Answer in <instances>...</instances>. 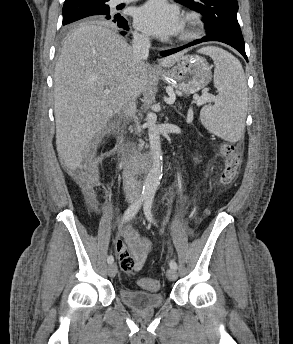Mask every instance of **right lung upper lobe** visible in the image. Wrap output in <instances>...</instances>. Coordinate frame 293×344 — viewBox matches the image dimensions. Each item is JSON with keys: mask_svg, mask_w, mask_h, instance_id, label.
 Returning <instances> with one entry per match:
<instances>
[{"mask_svg": "<svg viewBox=\"0 0 293 344\" xmlns=\"http://www.w3.org/2000/svg\"><path fill=\"white\" fill-rule=\"evenodd\" d=\"M78 1H82V0H65V3L64 4H70V3H74V2H78ZM77 23L75 24H72V25H76ZM72 25H69L68 27L72 26Z\"/></svg>", "mask_w": 293, "mask_h": 344, "instance_id": "right-lung-upper-lobe-1", "label": "right lung upper lobe"}]
</instances>
